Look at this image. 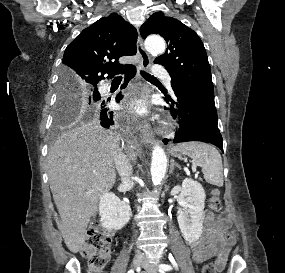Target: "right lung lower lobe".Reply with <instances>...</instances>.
I'll use <instances>...</instances> for the list:
<instances>
[{"label": "right lung lower lobe", "mask_w": 285, "mask_h": 273, "mask_svg": "<svg viewBox=\"0 0 285 273\" xmlns=\"http://www.w3.org/2000/svg\"><path fill=\"white\" fill-rule=\"evenodd\" d=\"M122 72H125V82L122 87H126L130 79L135 76L136 69L134 66H129ZM120 99H121V94L116 96L117 101H119ZM109 101H110V98L102 99L100 103L99 114H98V119L100 121V124L105 128H109L110 126L114 124L113 112L110 111L109 108L107 107V104Z\"/></svg>", "instance_id": "1"}]
</instances>
